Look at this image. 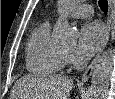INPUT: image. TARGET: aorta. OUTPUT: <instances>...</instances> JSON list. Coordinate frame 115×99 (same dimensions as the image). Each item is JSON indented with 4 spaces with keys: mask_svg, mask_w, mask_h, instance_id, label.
I'll list each match as a JSON object with an SVG mask.
<instances>
[{
    "mask_svg": "<svg viewBox=\"0 0 115 99\" xmlns=\"http://www.w3.org/2000/svg\"><path fill=\"white\" fill-rule=\"evenodd\" d=\"M74 4V0H59V6L63 10L73 7ZM53 37L61 46L72 45L76 41V30L66 22L57 23L53 29ZM113 58V52L108 50L97 60L92 74L89 99H105L113 67Z\"/></svg>",
    "mask_w": 115,
    "mask_h": 99,
    "instance_id": "762f6f07",
    "label": "aorta"
}]
</instances>
